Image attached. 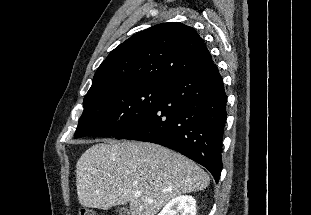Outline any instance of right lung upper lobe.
<instances>
[{"label": "right lung upper lobe", "mask_w": 311, "mask_h": 215, "mask_svg": "<svg viewBox=\"0 0 311 215\" xmlns=\"http://www.w3.org/2000/svg\"><path fill=\"white\" fill-rule=\"evenodd\" d=\"M211 63L210 52L194 28L179 22L158 24L112 50L86 96L109 88L165 84Z\"/></svg>", "instance_id": "obj_1"}]
</instances>
